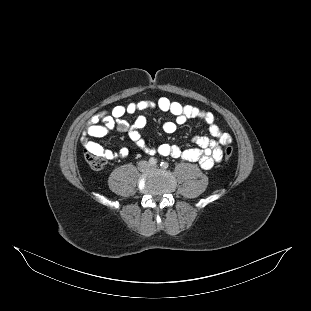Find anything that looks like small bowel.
<instances>
[{"label": "small bowel", "mask_w": 311, "mask_h": 311, "mask_svg": "<svg viewBox=\"0 0 311 311\" xmlns=\"http://www.w3.org/2000/svg\"><path fill=\"white\" fill-rule=\"evenodd\" d=\"M158 108L163 112H168L174 116L173 121H166L163 130L166 133H173L178 125L184 124L189 119H196L208 125L211 138L206 136H196L193 142L196 148L183 150L177 145L163 143L157 148L149 147L140 130L147 123L143 115L138 116L130 125L125 119V115L134 114L140 110ZM116 130L127 133L131 141L147 154H159L173 158H181L189 162H198L203 169H210L223 159L222 147L232 142L230 134L222 131L215 123L212 113L202 110L192 105H183L177 101H172L166 97L158 100L143 99L131 102L127 105L115 106L111 113L100 112L93 115L87 122L81 136V142L86 150L103 155L106 159L123 158L128 155L125 148L117 152L104 149L100 144L91 141L90 138H102L109 132Z\"/></svg>", "instance_id": "small-bowel-1"}]
</instances>
